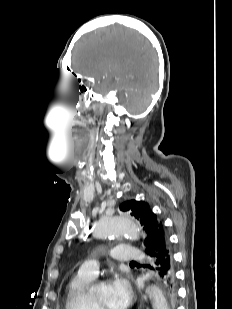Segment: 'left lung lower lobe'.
<instances>
[{"label":"left lung lower lobe","instance_id":"1","mask_svg":"<svg viewBox=\"0 0 232 309\" xmlns=\"http://www.w3.org/2000/svg\"><path fill=\"white\" fill-rule=\"evenodd\" d=\"M146 253L151 258V265L148 267L157 273L165 295L167 294L168 297L173 298L174 292H177L175 268L169 239L164 226L159 228L156 240L152 246L146 249Z\"/></svg>","mask_w":232,"mask_h":309}]
</instances>
